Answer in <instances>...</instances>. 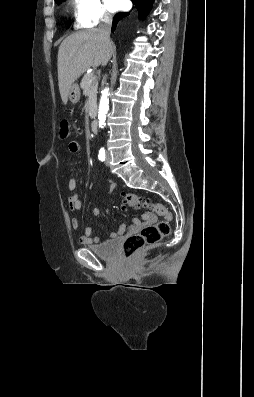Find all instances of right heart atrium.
Returning <instances> with one entry per match:
<instances>
[{
    "mask_svg": "<svg viewBox=\"0 0 254 397\" xmlns=\"http://www.w3.org/2000/svg\"><path fill=\"white\" fill-rule=\"evenodd\" d=\"M109 19L110 14L101 0H75V20L79 27H94Z\"/></svg>",
    "mask_w": 254,
    "mask_h": 397,
    "instance_id": "right-heart-atrium-1",
    "label": "right heart atrium"
}]
</instances>
